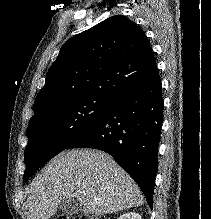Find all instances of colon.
<instances>
[{
	"label": "colon",
	"instance_id": "1",
	"mask_svg": "<svg viewBox=\"0 0 211 219\" xmlns=\"http://www.w3.org/2000/svg\"><path fill=\"white\" fill-rule=\"evenodd\" d=\"M58 219H105L103 216L84 215V216H60Z\"/></svg>",
	"mask_w": 211,
	"mask_h": 219
}]
</instances>
